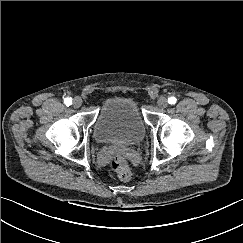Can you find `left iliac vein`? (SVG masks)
I'll return each mask as SVG.
<instances>
[{"label":"left iliac vein","instance_id":"obj_1","mask_svg":"<svg viewBox=\"0 0 243 243\" xmlns=\"http://www.w3.org/2000/svg\"><path fill=\"white\" fill-rule=\"evenodd\" d=\"M157 105L159 108H166L168 106V101L165 97H160L157 101Z\"/></svg>","mask_w":243,"mask_h":243}]
</instances>
